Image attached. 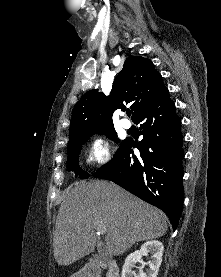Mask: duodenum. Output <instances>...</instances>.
<instances>
[{"label": "duodenum", "instance_id": "obj_1", "mask_svg": "<svg viewBox=\"0 0 221 277\" xmlns=\"http://www.w3.org/2000/svg\"><path fill=\"white\" fill-rule=\"evenodd\" d=\"M106 269V277H120V271L117 263L110 260L105 264L92 262L86 266L81 273V277H100L102 269Z\"/></svg>", "mask_w": 221, "mask_h": 277}]
</instances>
